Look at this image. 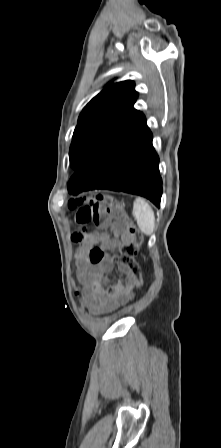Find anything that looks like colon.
<instances>
[{
    "label": "colon",
    "mask_w": 221,
    "mask_h": 448,
    "mask_svg": "<svg viewBox=\"0 0 221 448\" xmlns=\"http://www.w3.org/2000/svg\"><path fill=\"white\" fill-rule=\"evenodd\" d=\"M69 209L75 211L76 222L83 226L80 232L82 237L85 236L88 225H118L120 221L124 223L129 240L117 248L113 261L127 269L135 286L142 287L141 267L135 259L142 242V235L133 222L120 212V203L110 195L97 194L88 199L70 200ZM106 257V251L97 245L89 248L86 253V259L91 264H99Z\"/></svg>",
    "instance_id": "1"
}]
</instances>
